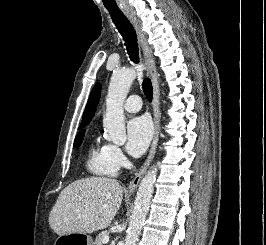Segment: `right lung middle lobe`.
I'll return each instance as SVG.
<instances>
[{
	"label": "right lung middle lobe",
	"mask_w": 266,
	"mask_h": 245,
	"mask_svg": "<svg viewBox=\"0 0 266 245\" xmlns=\"http://www.w3.org/2000/svg\"><path fill=\"white\" fill-rule=\"evenodd\" d=\"M86 125H87V124H86ZM86 125H81V126L79 127V129L84 128ZM84 135H85V130H81V131L77 134V136H76V138H75V141H74V147L78 148V147L81 145V143H82V141H83V138H84Z\"/></svg>",
	"instance_id": "dd1d6c3e"
}]
</instances>
